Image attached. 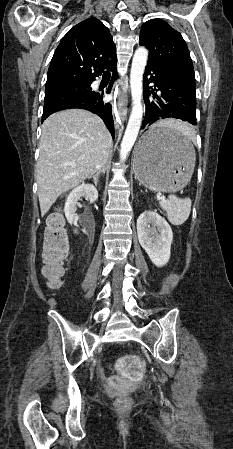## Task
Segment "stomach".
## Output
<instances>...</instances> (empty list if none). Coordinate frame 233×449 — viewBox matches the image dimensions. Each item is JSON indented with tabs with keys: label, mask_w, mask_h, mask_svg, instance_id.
<instances>
[{
	"label": "stomach",
	"mask_w": 233,
	"mask_h": 449,
	"mask_svg": "<svg viewBox=\"0 0 233 449\" xmlns=\"http://www.w3.org/2000/svg\"><path fill=\"white\" fill-rule=\"evenodd\" d=\"M195 151L185 133L156 123L146 128L134 150L136 178L155 191H177L189 180Z\"/></svg>",
	"instance_id": "obj_1"
}]
</instances>
